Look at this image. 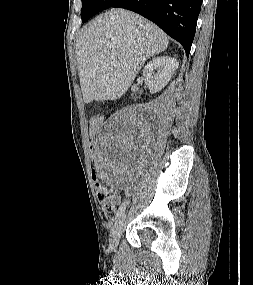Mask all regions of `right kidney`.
Instances as JSON below:
<instances>
[{
    "label": "right kidney",
    "instance_id": "obj_1",
    "mask_svg": "<svg viewBox=\"0 0 253 285\" xmlns=\"http://www.w3.org/2000/svg\"><path fill=\"white\" fill-rule=\"evenodd\" d=\"M178 66V61L170 56H159L147 63L143 76L150 93L162 90L171 80ZM155 69H157L156 75L154 74Z\"/></svg>",
    "mask_w": 253,
    "mask_h": 285
}]
</instances>
